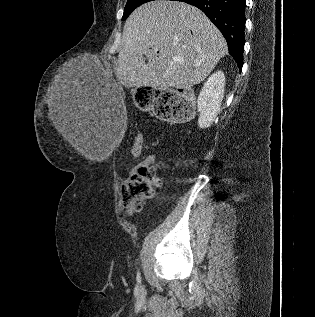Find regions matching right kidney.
Instances as JSON below:
<instances>
[{"label":"right kidney","mask_w":315,"mask_h":317,"mask_svg":"<svg viewBox=\"0 0 315 317\" xmlns=\"http://www.w3.org/2000/svg\"><path fill=\"white\" fill-rule=\"evenodd\" d=\"M225 76L216 71L205 82L197 100L198 125L201 129L212 125L220 110L224 97Z\"/></svg>","instance_id":"right-kidney-1"}]
</instances>
